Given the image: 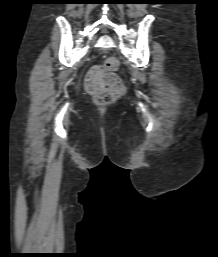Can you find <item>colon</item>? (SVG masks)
<instances>
[{"mask_svg": "<svg viewBox=\"0 0 218 257\" xmlns=\"http://www.w3.org/2000/svg\"><path fill=\"white\" fill-rule=\"evenodd\" d=\"M118 67V60L109 57L103 67H93L87 73L86 88L98 103H112L124 93L125 86L122 80L114 74Z\"/></svg>", "mask_w": 218, "mask_h": 257, "instance_id": "5ec220e1", "label": "colon"}]
</instances>
